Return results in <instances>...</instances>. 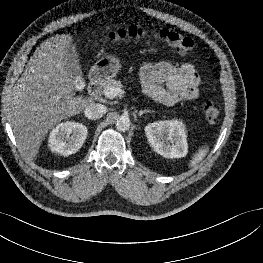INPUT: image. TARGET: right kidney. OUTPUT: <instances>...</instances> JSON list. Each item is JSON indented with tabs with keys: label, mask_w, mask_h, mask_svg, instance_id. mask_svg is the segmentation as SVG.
Wrapping results in <instances>:
<instances>
[{
	"label": "right kidney",
	"mask_w": 263,
	"mask_h": 263,
	"mask_svg": "<svg viewBox=\"0 0 263 263\" xmlns=\"http://www.w3.org/2000/svg\"><path fill=\"white\" fill-rule=\"evenodd\" d=\"M87 131V127L78 122L60 123L50 133L49 147L62 156L74 154L82 147Z\"/></svg>",
	"instance_id": "obj_1"
}]
</instances>
